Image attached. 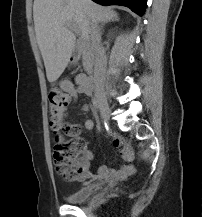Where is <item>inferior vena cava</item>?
<instances>
[{
	"mask_svg": "<svg viewBox=\"0 0 202 217\" xmlns=\"http://www.w3.org/2000/svg\"><path fill=\"white\" fill-rule=\"evenodd\" d=\"M98 23L94 22L90 27L91 41L95 47V66H94V82L97 87L104 85L106 56L103 47L101 46V32Z\"/></svg>",
	"mask_w": 202,
	"mask_h": 217,
	"instance_id": "obj_1",
	"label": "inferior vena cava"
}]
</instances>
